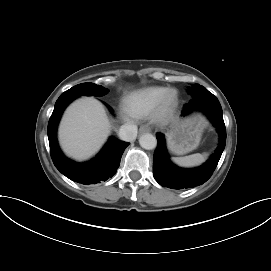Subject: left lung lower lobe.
<instances>
[{
    "mask_svg": "<svg viewBox=\"0 0 271 271\" xmlns=\"http://www.w3.org/2000/svg\"><path fill=\"white\" fill-rule=\"evenodd\" d=\"M195 109L203 111L217 128L220 135V144L211 158L201 167L182 169L170 161L165 138L161 133H157L158 145L153 158V175L156 181L163 187L183 189L205 183L211 177L225 148L226 129L222 108L218 99L210 92L201 94L186 104L182 113L185 115Z\"/></svg>",
    "mask_w": 271,
    "mask_h": 271,
    "instance_id": "left-lung-lower-lobe-1",
    "label": "left lung lower lobe"
}]
</instances>
